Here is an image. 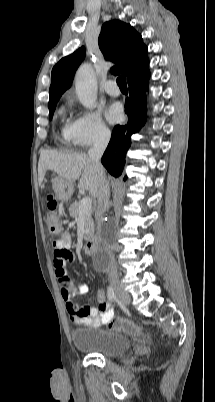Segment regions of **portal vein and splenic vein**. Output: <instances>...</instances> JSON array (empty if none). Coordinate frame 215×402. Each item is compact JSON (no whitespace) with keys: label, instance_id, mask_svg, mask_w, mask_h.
I'll return each mask as SVG.
<instances>
[{"label":"portal vein and splenic vein","instance_id":"portal-vein-and-splenic-vein-1","mask_svg":"<svg viewBox=\"0 0 215 402\" xmlns=\"http://www.w3.org/2000/svg\"><path fill=\"white\" fill-rule=\"evenodd\" d=\"M92 207V200L89 197H84L80 201L79 205V215L82 216L83 214L87 213L89 210H91Z\"/></svg>","mask_w":215,"mask_h":402}]
</instances>
